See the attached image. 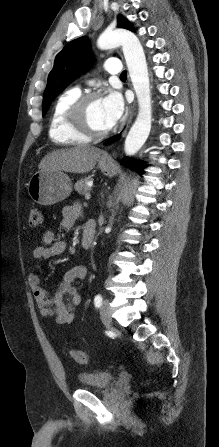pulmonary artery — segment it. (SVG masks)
I'll use <instances>...</instances> for the list:
<instances>
[{
  "mask_svg": "<svg viewBox=\"0 0 219 447\" xmlns=\"http://www.w3.org/2000/svg\"><path fill=\"white\" fill-rule=\"evenodd\" d=\"M105 70L109 75H118L121 73V64L118 59L110 58L105 62Z\"/></svg>",
  "mask_w": 219,
  "mask_h": 447,
  "instance_id": "pulmonary-artery-1",
  "label": "pulmonary artery"
}]
</instances>
